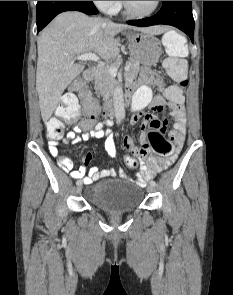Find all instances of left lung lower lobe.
Instances as JSON below:
<instances>
[{"instance_id": "0a47b994", "label": "left lung lower lobe", "mask_w": 233, "mask_h": 295, "mask_svg": "<svg viewBox=\"0 0 233 295\" xmlns=\"http://www.w3.org/2000/svg\"><path fill=\"white\" fill-rule=\"evenodd\" d=\"M130 25L147 27L157 24L172 25L185 32L194 42V19L192 1H162L161 10L153 17L132 20Z\"/></svg>"}]
</instances>
